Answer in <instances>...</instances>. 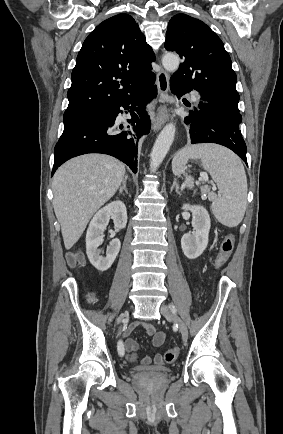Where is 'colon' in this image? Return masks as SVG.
Masks as SVG:
<instances>
[{
    "label": "colon",
    "instance_id": "obj_1",
    "mask_svg": "<svg viewBox=\"0 0 283 434\" xmlns=\"http://www.w3.org/2000/svg\"><path fill=\"white\" fill-rule=\"evenodd\" d=\"M235 238L233 234H227L223 237L217 256L215 258V267L217 269L223 267L225 263L230 258L233 249H234ZM69 264L72 267H76L78 265L83 264V258L78 254H73L69 257ZM179 351L178 348H170L164 354V359L166 362L171 363L175 361L178 357Z\"/></svg>",
    "mask_w": 283,
    "mask_h": 434
}]
</instances>
